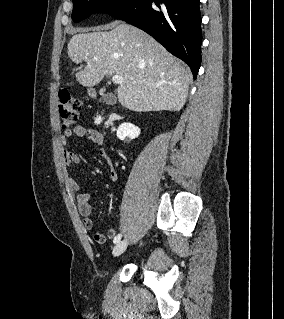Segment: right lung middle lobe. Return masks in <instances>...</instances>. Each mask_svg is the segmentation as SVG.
<instances>
[{
	"label": "right lung middle lobe",
	"instance_id": "1",
	"mask_svg": "<svg viewBox=\"0 0 284 319\" xmlns=\"http://www.w3.org/2000/svg\"><path fill=\"white\" fill-rule=\"evenodd\" d=\"M132 0H73L72 19L79 22L93 13H108Z\"/></svg>",
	"mask_w": 284,
	"mask_h": 319
}]
</instances>
